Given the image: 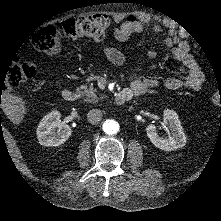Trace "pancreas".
Listing matches in <instances>:
<instances>
[{
    "label": "pancreas",
    "instance_id": "pancreas-1",
    "mask_svg": "<svg viewBox=\"0 0 221 221\" xmlns=\"http://www.w3.org/2000/svg\"><path fill=\"white\" fill-rule=\"evenodd\" d=\"M81 95L85 96V101L89 103H97L99 98L96 94V89H94L93 84L89 87L87 85H81L76 89Z\"/></svg>",
    "mask_w": 221,
    "mask_h": 221
}]
</instances>
